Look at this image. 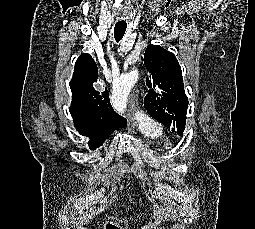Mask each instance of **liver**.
I'll use <instances>...</instances> for the list:
<instances>
[{"instance_id": "liver-1", "label": "liver", "mask_w": 255, "mask_h": 229, "mask_svg": "<svg viewBox=\"0 0 255 229\" xmlns=\"http://www.w3.org/2000/svg\"><path fill=\"white\" fill-rule=\"evenodd\" d=\"M150 227H152V223L146 225L145 227H143L142 229H150Z\"/></svg>"}]
</instances>
